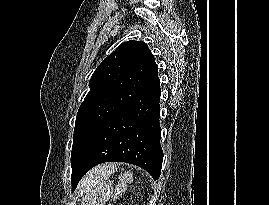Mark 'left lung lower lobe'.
Here are the masks:
<instances>
[{"mask_svg":"<svg viewBox=\"0 0 269 205\" xmlns=\"http://www.w3.org/2000/svg\"><path fill=\"white\" fill-rule=\"evenodd\" d=\"M160 81L157 77L94 136L72 171V191L83 175L104 162H126L161 174Z\"/></svg>","mask_w":269,"mask_h":205,"instance_id":"1","label":"left lung lower lobe"}]
</instances>
